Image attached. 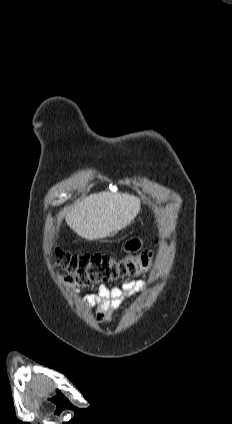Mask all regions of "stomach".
<instances>
[{
	"label": "stomach",
	"instance_id": "obj_1",
	"mask_svg": "<svg viewBox=\"0 0 232 424\" xmlns=\"http://www.w3.org/2000/svg\"><path fill=\"white\" fill-rule=\"evenodd\" d=\"M143 248V240L140 237H132L126 240L122 246L121 250L129 253H134Z\"/></svg>",
	"mask_w": 232,
	"mask_h": 424
}]
</instances>
